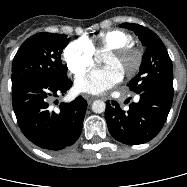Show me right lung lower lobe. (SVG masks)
Listing matches in <instances>:
<instances>
[{
    "label": "right lung lower lobe",
    "instance_id": "obj_1",
    "mask_svg": "<svg viewBox=\"0 0 187 187\" xmlns=\"http://www.w3.org/2000/svg\"><path fill=\"white\" fill-rule=\"evenodd\" d=\"M72 81L24 80L12 86V103L23 134L38 147L59 151L79 138L87 102L81 96L70 103H60L57 112L50 111L49 101L63 95Z\"/></svg>",
    "mask_w": 187,
    "mask_h": 187
}]
</instances>
